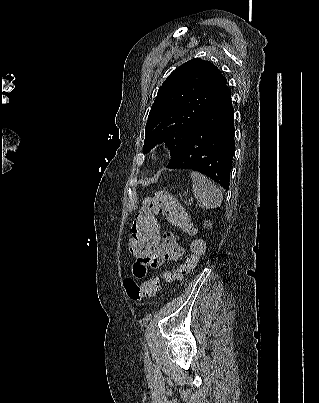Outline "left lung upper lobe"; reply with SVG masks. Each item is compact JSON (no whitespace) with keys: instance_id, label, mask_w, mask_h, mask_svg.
Instances as JSON below:
<instances>
[{"instance_id":"obj_1","label":"left lung upper lobe","mask_w":319,"mask_h":403,"mask_svg":"<svg viewBox=\"0 0 319 403\" xmlns=\"http://www.w3.org/2000/svg\"><path fill=\"white\" fill-rule=\"evenodd\" d=\"M226 82L215 65L199 58L176 68L160 86L151 107L145 127L144 153L165 142L171 159L177 156Z\"/></svg>"}]
</instances>
